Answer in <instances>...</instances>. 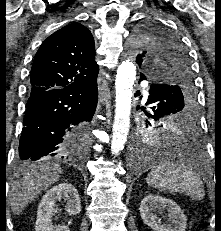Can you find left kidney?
<instances>
[{
	"mask_svg": "<svg viewBox=\"0 0 221 231\" xmlns=\"http://www.w3.org/2000/svg\"><path fill=\"white\" fill-rule=\"evenodd\" d=\"M164 209L168 212L169 222L161 224L157 220L156 211ZM143 222L153 231H185L187 219L181 208L172 200L150 194L143 198L140 205Z\"/></svg>",
	"mask_w": 221,
	"mask_h": 231,
	"instance_id": "left-kidney-1",
	"label": "left kidney"
}]
</instances>
